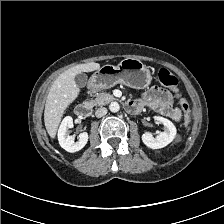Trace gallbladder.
<instances>
[{
  "label": "gallbladder",
  "mask_w": 224,
  "mask_h": 224,
  "mask_svg": "<svg viewBox=\"0 0 224 224\" xmlns=\"http://www.w3.org/2000/svg\"><path fill=\"white\" fill-rule=\"evenodd\" d=\"M87 79H88L87 75L84 73H79L74 78L75 83H76L77 87H79V88H83L86 86Z\"/></svg>",
  "instance_id": "obj_1"
}]
</instances>
